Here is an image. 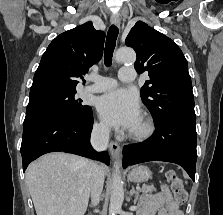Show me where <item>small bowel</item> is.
Instances as JSON below:
<instances>
[{
    "instance_id": "obj_1",
    "label": "small bowel",
    "mask_w": 223,
    "mask_h": 215,
    "mask_svg": "<svg viewBox=\"0 0 223 215\" xmlns=\"http://www.w3.org/2000/svg\"><path fill=\"white\" fill-rule=\"evenodd\" d=\"M140 215H184L166 187L141 201Z\"/></svg>"
}]
</instances>
